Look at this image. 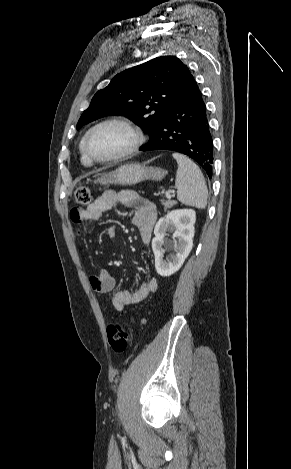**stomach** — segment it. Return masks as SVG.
<instances>
[{
  "label": "stomach",
  "mask_w": 291,
  "mask_h": 469,
  "mask_svg": "<svg viewBox=\"0 0 291 469\" xmlns=\"http://www.w3.org/2000/svg\"><path fill=\"white\" fill-rule=\"evenodd\" d=\"M165 175L166 172L161 168L146 167L140 163H129L108 174L101 175L96 182L100 184L134 185L144 180H162Z\"/></svg>",
  "instance_id": "obj_1"
}]
</instances>
